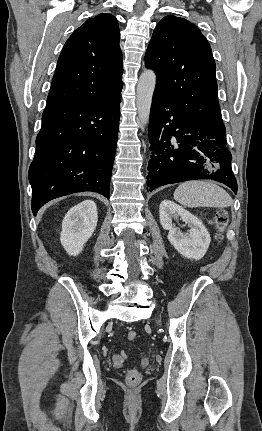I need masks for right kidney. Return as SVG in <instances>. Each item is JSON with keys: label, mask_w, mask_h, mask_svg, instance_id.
Masks as SVG:
<instances>
[{"label": "right kidney", "mask_w": 262, "mask_h": 431, "mask_svg": "<svg viewBox=\"0 0 262 431\" xmlns=\"http://www.w3.org/2000/svg\"><path fill=\"white\" fill-rule=\"evenodd\" d=\"M98 221L97 206L85 200L72 207L62 222L61 244L69 255H78L92 236Z\"/></svg>", "instance_id": "obj_1"}]
</instances>
